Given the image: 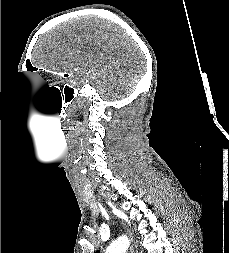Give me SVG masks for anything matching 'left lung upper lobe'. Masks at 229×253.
Segmentation results:
<instances>
[{"instance_id": "1", "label": "left lung upper lobe", "mask_w": 229, "mask_h": 253, "mask_svg": "<svg viewBox=\"0 0 229 253\" xmlns=\"http://www.w3.org/2000/svg\"><path fill=\"white\" fill-rule=\"evenodd\" d=\"M95 253H100V251H96Z\"/></svg>"}]
</instances>
